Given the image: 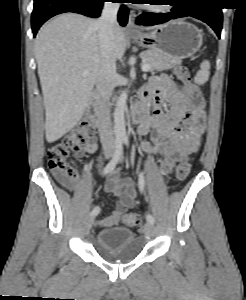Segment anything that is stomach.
<instances>
[{"label":"stomach","mask_w":246,"mask_h":300,"mask_svg":"<svg viewBox=\"0 0 246 300\" xmlns=\"http://www.w3.org/2000/svg\"><path fill=\"white\" fill-rule=\"evenodd\" d=\"M134 40L142 48L157 51L175 61L191 57L203 43L201 30L182 20L170 21L149 33H140Z\"/></svg>","instance_id":"obj_1"}]
</instances>
